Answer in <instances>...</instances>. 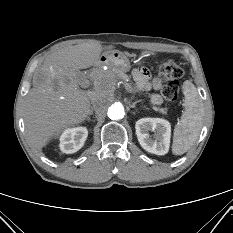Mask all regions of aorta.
Segmentation results:
<instances>
[{
	"mask_svg": "<svg viewBox=\"0 0 233 233\" xmlns=\"http://www.w3.org/2000/svg\"><path fill=\"white\" fill-rule=\"evenodd\" d=\"M108 117L112 120L122 119L124 116V108L121 103L109 102L107 104Z\"/></svg>",
	"mask_w": 233,
	"mask_h": 233,
	"instance_id": "762f6f07",
	"label": "aorta"
}]
</instances>
